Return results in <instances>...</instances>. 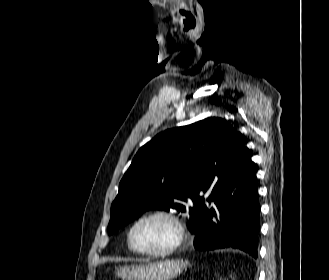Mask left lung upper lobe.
<instances>
[{
  "label": "left lung upper lobe",
  "mask_w": 329,
  "mask_h": 280,
  "mask_svg": "<svg viewBox=\"0 0 329 280\" xmlns=\"http://www.w3.org/2000/svg\"><path fill=\"white\" fill-rule=\"evenodd\" d=\"M243 146L241 134L215 117L156 135L139 149L119 184L109 235L151 209L188 212L196 233L205 203L199 194L215 195L231 182Z\"/></svg>",
  "instance_id": "1"
}]
</instances>
